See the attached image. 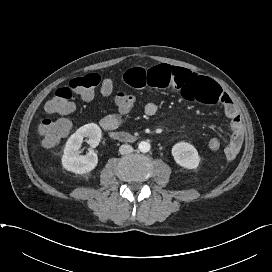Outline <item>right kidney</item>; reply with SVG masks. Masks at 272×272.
I'll list each match as a JSON object with an SVG mask.
<instances>
[{
    "label": "right kidney",
    "instance_id": "right-kidney-1",
    "mask_svg": "<svg viewBox=\"0 0 272 272\" xmlns=\"http://www.w3.org/2000/svg\"><path fill=\"white\" fill-rule=\"evenodd\" d=\"M101 137V129L95 123L80 127L66 142L62 156L63 168L75 174H85L95 169L98 157L92 149L98 146ZM84 138H88L87 143L92 149L86 155H80L79 149Z\"/></svg>",
    "mask_w": 272,
    "mask_h": 272
}]
</instances>
